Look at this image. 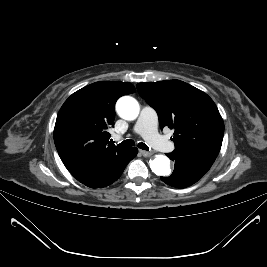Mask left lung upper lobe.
<instances>
[{"instance_id":"5c2ea615","label":"left lung upper lobe","mask_w":267,"mask_h":267,"mask_svg":"<svg viewBox=\"0 0 267 267\" xmlns=\"http://www.w3.org/2000/svg\"><path fill=\"white\" fill-rule=\"evenodd\" d=\"M137 90L156 110L161 129L174 130L176 151L210 163L215 161L224 124L206 93L180 80L138 83Z\"/></svg>"}]
</instances>
